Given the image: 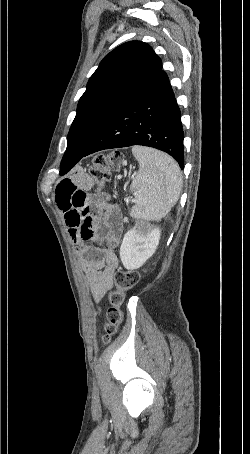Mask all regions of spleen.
Returning <instances> with one entry per match:
<instances>
[{
	"label": "spleen",
	"instance_id": "3e777b00",
	"mask_svg": "<svg viewBox=\"0 0 250 454\" xmlns=\"http://www.w3.org/2000/svg\"><path fill=\"white\" fill-rule=\"evenodd\" d=\"M132 153L139 162V170L130 186L137 198L130 216L159 221L179 199L183 183L181 171L174 159L160 151L134 146Z\"/></svg>",
	"mask_w": 250,
	"mask_h": 454
}]
</instances>
